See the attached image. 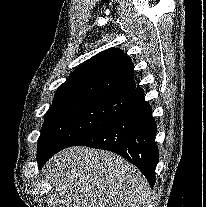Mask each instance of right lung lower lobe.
Listing matches in <instances>:
<instances>
[{
	"label": "right lung lower lobe",
	"mask_w": 206,
	"mask_h": 207,
	"mask_svg": "<svg viewBox=\"0 0 206 207\" xmlns=\"http://www.w3.org/2000/svg\"><path fill=\"white\" fill-rule=\"evenodd\" d=\"M127 96L130 102L121 114L75 145L105 149L121 155L138 167L153 187L159 155L152 108L145 101L140 87L134 88ZM59 150L38 155L39 168Z\"/></svg>",
	"instance_id": "1"
}]
</instances>
